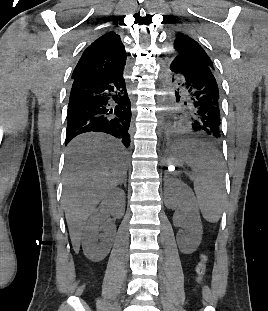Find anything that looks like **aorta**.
Masks as SVG:
<instances>
[{"label": "aorta", "instance_id": "1", "mask_svg": "<svg viewBox=\"0 0 268 311\" xmlns=\"http://www.w3.org/2000/svg\"><path fill=\"white\" fill-rule=\"evenodd\" d=\"M157 99L159 101V123H162V101L164 99V88L161 87V81H158V87H157Z\"/></svg>", "mask_w": 268, "mask_h": 311}]
</instances>
